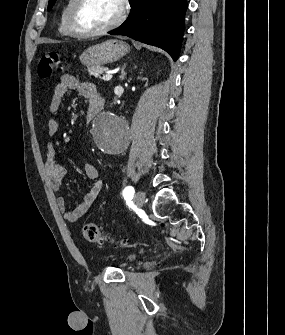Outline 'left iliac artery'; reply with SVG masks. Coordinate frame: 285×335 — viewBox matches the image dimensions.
I'll use <instances>...</instances> for the list:
<instances>
[{
  "label": "left iliac artery",
  "mask_w": 285,
  "mask_h": 335,
  "mask_svg": "<svg viewBox=\"0 0 285 335\" xmlns=\"http://www.w3.org/2000/svg\"><path fill=\"white\" fill-rule=\"evenodd\" d=\"M134 188L132 186H127L124 190H123V196L126 197L128 195H134Z\"/></svg>",
  "instance_id": "left-iliac-artery-1"
}]
</instances>
